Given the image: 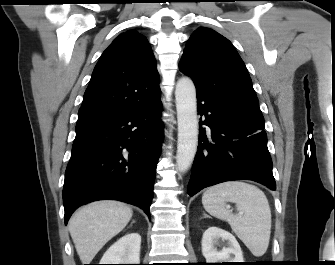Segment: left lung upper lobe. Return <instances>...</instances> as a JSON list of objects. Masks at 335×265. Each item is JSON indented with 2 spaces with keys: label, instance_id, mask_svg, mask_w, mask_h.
Wrapping results in <instances>:
<instances>
[{
  "label": "left lung upper lobe",
  "instance_id": "left-lung-upper-lobe-1",
  "mask_svg": "<svg viewBox=\"0 0 335 265\" xmlns=\"http://www.w3.org/2000/svg\"><path fill=\"white\" fill-rule=\"evenodd\" d=\"M196 91L263 119L251 78L231 42L216 31L200 27L190 37L180 62Z\"/></svg>",
  "mask_w": 335,
  "mask_h": 265
}]
</instances>
